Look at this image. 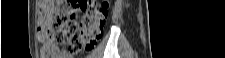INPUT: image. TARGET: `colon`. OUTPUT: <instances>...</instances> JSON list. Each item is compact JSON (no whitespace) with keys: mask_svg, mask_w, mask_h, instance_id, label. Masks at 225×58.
<instances>
[{"mask_svg":"<svg viewBox=\"0 0 225 58\" xmlns=\"http://www.w3.org/2000/svg\"><path fill=\"white\" fill-rule=\"evenodd\" d=\"M78 10L83 13L79 22L75 20ZM107 16L105 1L40 0L37 39L42 44L41 57L62 58L91 50L102 36Z\"/></svg>","mask_w":225,"mask_h":58,"instance_id":"1","label":"colon"}]
</instances>
